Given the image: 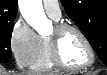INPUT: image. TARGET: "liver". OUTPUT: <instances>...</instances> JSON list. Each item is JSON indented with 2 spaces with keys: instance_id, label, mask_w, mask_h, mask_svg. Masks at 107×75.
<instances>
[{
  "instance_id": "1",
  "label": "liver",
  "mask_w": 107,
  "mask_h": 75,
  "mask_svg": "<svg viewBox=\"0 0 107 75\" xmlns=\"http://www.w3.org/2000/svg\"><path fill=\"white\" fill-rule=\"evenodd\" d=\"M0 75H7L6 72L4 70H1L0 71ZM15 75H38V74H33V73H18V74H15Z\"/></svg>"
}]
</instances>
